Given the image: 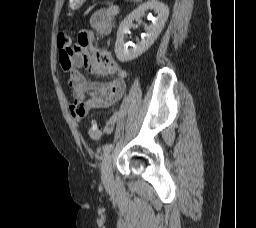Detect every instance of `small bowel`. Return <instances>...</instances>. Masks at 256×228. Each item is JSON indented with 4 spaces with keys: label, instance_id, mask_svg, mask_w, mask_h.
Returning <instances> with one entry per match:
<instances>
[{
    "label": "small bowel",
    "instance_id": "obj_1",
    "mask_svg": "<svg viewBox=\"0 0 256 228\" xmlns=\"http://www.w3.org/2000/svg\"><path fill=\"white\" fill-rule=\"evenodd\" d=\"M118 13L119 7L116 5L97 10L90 19L92 29L101 35L110 34ZM59 60L62 69L68 74L73 98L70 113L76 122L86 117L92 109L110 107L122 97L127 72L109 51L97 48L93 31H81L78 42L70 50L60 49ZM83 69L95 75H111L113 79L89 80L83 74ZM111 126L112 122L109 123Z\"/></svg>",
    "mask_w": 256,
    "mask_h": 228
}]
</instances>
